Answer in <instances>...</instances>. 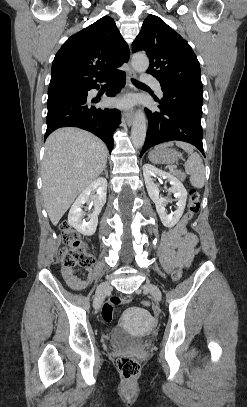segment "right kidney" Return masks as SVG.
I'll return each mask as SVG.
<instances>
[{"label":"right kidney","mask_w":247,"mask_h":407,"mask_svg":"<svg viewBox=\"0 0 247 407\" xmlns=\"http://www.w3.org/2000/svg\"><path fill=\"white\" fill-rule=\"evenodd\" d=\"M106 194L107 180L105 178L94 180L85 190H83L72 205L68 214V223L79 233L85 236H92L98 225V215L106 203ZM86 202H92L94 205L93 212L88 216V222L82 219L85 214L82 210V206Z\"/></svg>","instance_id":"obj_1"}]
</instances>
